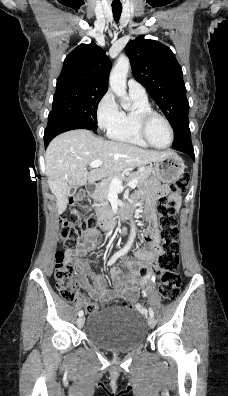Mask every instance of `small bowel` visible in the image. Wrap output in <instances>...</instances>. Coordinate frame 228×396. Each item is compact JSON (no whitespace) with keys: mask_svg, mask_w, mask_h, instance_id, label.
Masks as SVG:
<instances>
[{"mask_svg":"<svg viewBox=\"0 0 228 396\" xmlns=\"http://www.w3.org/2000/svg\"><path fill=\"white\" fill-rule=\"evenodd\" d=\"M168 192V185H152L150 188V198L148 200L145 212L151 217H155V201L159 197ZM176 208H179L180 198L174 196ZM138 199L134 198L132 203L137 204ZM145 238L151 241L152 247L150 249H140L135 251V256L139 259L141 266L154 267L156 259L161 253L160 238L156 228L149 229L145 232ZM99 232L95 228L87 229L83 235L80 243L74 248H68L65 251V260L72 263L79 272V281L88 295L93 298L106 303L115 299H129L131 301L138 300L140 296V289L138 285H142L148 289L150 283L153 282L154 276L149 273L147 276L141 278L137 268L131 263L127 264L128 272L123 273L119 268L114 267L110 270V275L114 281V289L107 287V281L102 276H94L86 268L85 262L82 259L88 252L95 250L98 246ZM137 308L141 309L140 305Z\"/></svg>","mask_w":228,"mask_h":396,"instance_id":"c3829d8e","label":"small bowel"}]
</instances>
